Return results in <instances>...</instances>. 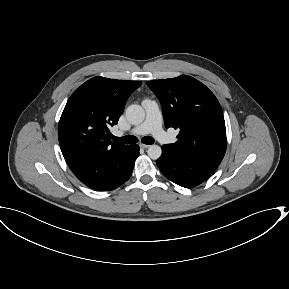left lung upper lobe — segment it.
I'll use <instances>...</instances> for the list:
<instances>
[{
	"instance_id": "1",
	"label": "left lung upper lobe",
	"mask_w": 289,
	"mask_h": 289,
	"mask_svg": "<svg viewBox=\"0 0 289 289\" xmlns=\"http://www.w3.org/2000/svg\"><path fill=\"white\" fill-rule=\"evenodd\" d=\"M147 85L160 100L166 127L180 130L178 141L164 147L179 156L219 165L227 141L222 108L214 94L187 75Z\"/></svg>"
}]
</instances>
